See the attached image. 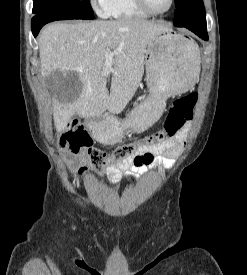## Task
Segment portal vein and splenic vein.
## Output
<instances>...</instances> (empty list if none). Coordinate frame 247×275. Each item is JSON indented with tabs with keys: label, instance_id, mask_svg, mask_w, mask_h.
I'll return each instance as SVG.
<instances>
[{
	"label": "portal vein and splenic vein",
	"instance_id": "1",
	"mask_svg": "<svg viewBox=\"0 0 247 275\" xmlns=\"http://www.w3.org/2000/svg\"><path fill=\"white\" fill-rule=\"evenodd\" d=\"M115 54H116V53H113V52H110V51H107V52L105 53L106 71H108V72L112 71L111 61H112V58H113V56H114Z\"/></svg>",
	"mask_w": 247,
	"mask_h": 275
}]
</instances>
